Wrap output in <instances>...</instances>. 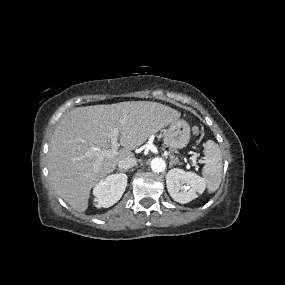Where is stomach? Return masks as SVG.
Here are the masks:
<instances>
[{"label":"stomach","instance_id":"1","mask_svg":"<svg viewBox=\"0 0 285 285\" xmlns=\"http://www.w3.org/2000/svg\"><path fill=\"white\" fill-rule=\"evenodd\" d=\"M190 136L189 124L185 120L175 119L165 131L163 142L169 148L182 149L189 143Z\"/></svg>","mask_w":285,"mask_h":285}]
</instances>
